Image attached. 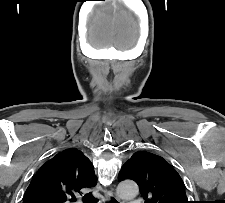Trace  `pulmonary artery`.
<instances>
[{
    "mask_svg": "<svg viewBox=\"0 0 225 203\" xmlns=\"http://www.w3.org/2000/svg\"><path fill=\"white\" fill-rule=\"evenodd\" d=\"M143 201L138 199V200H130L129 203H142Z\"/></svg>",
    "mask_w": 225,
    "mask_h": 203,
    "instance_id": "e3ab8cb5",
    "label": "pulmonary artery"
}]
</instances>
